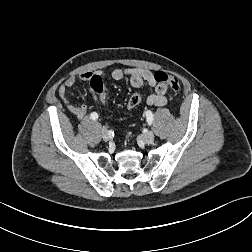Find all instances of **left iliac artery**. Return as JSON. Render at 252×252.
<instances>
[{
  "label": "left iliac artery",
  "mask_w": 252,
  "mask_h": 252,
  "mask_svg": "<svg viewBox=\"0 0 252 252\" xmlns=\"http://www.w3.org/2000/svg\"><path fill=\"white\" fill-rule=\"evenodd\" d=\"M146 119H147V122L149 125H151L153 123L154 118H153V114L151 111L146 112Z\"/></svg>",
  "instance_id": "1"
}]
</instances>
